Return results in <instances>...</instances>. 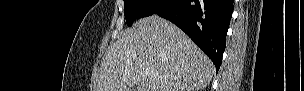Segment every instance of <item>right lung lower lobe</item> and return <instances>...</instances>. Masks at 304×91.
Returning <instances> with one entry per match:
<instances>
[{
	"mask_svg": "<svg viewBox=\"0 0 304 91\" xmlns=\"http://www.w3.org/2000/svg\"><path fill=\"white\" fill-rule=\"evenodd\" d=\"M233 0H170L155 14L181 28L213 61L221 66Z\"/></svg>",
	"mask_w": 304,
	"mask_h": 91,
	"instance_id": "98d812e1",
	"label": "right lung lower lobe"
}]
</instances>
